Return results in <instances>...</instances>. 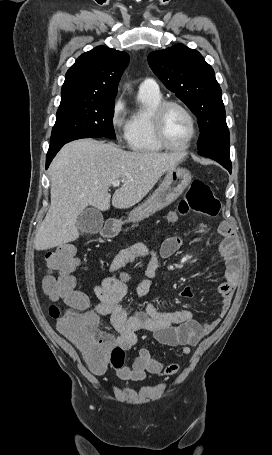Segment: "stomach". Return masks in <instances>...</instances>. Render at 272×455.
<instances>
[{"mask_svg":"<svg viewBox=\"0 0 272 455\" xmlns=\"http://www.w3.org/2000/svg\"><path fill=\"white\" fill-rule=\"evenodd\" d=\"M190 182L191 173L187 169L175 167L168 170L155 192L145 202L130 212L128 222L143 220L167 207L183 193ZM120 225V222H116L115 228L119 230Z\"/></svg>","mask_w":272,"mask_h":455,"instance_id":"1","label":"stomach"}]
</instances>
